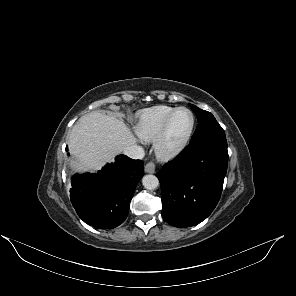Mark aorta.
Masks as SVG:
<instances>
[{"label": "aorta", "mask_w": 296, "mask_h": 296, "mask_svg": "<svg viewBox=\"0 0 296 296\" xmlns=\"http://www.w3.org/2000/svg\"><path fill=\"white\" fill-rule=\"evenodd\" d=\"M143 186L148 190H154L159 186V180L155 175H145L142 178Z\"/></svg>", "instance_id": "aorta-1"}]
</instances>
